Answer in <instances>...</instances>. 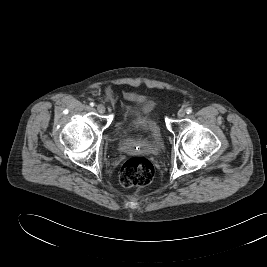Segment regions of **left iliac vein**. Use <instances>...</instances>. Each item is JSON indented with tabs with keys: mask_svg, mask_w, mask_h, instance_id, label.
Here are the masks:
<instances>
[{
	"mask_svg": "<svg viewBox=\"0 0 267 267\" xmlns=\"http://www.w3.org/2000/svg\"><path fill=\"white\" fill-rule=\"evenodd\" d=\"M185 114H186V111H185L184 109H180V110L178 111V113H177V116H178L179 118H183V117L185 116Z\"/></svg>",
	"mask_w": 267,
	"mask_h": 267,
	"instance_id": "4c4485c4",
	"label": "left iliac vein"
}]
</instances>
